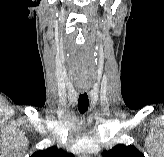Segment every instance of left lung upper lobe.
Returning <instances> with one entry per match:
<instances>
[{
    "label": "left lung upper lobe",
    "mask_w": 164,
    "mask_h": 157,
    "mask_svg": "<svg viewBox=\"0 0 164 157\" xmlns=\"http://www.w3.org/2000/svg\"><path fill=\"white\" fill-rule=\"evenodd\" d=\"M103 157H145L134 146L116 145L109 151H103Z\"/></svg>",
    "instance_id": "left-lung-upper-lobe-1"
}]
</instances>
